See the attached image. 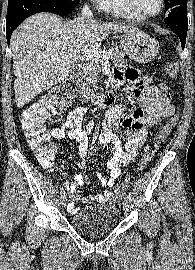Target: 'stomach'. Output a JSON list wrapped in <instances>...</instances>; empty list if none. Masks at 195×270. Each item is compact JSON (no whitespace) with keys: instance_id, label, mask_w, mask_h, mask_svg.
<instances>
[{"instance_id":"0dacf381","label":"stomach","mask_w":195,"mask_h":270,"mask_svg":"<svg viewBox=\"0 0 195 270\" xmlns=\"http://www.w3.org/2000/svg\"><path fill=\"white\" fill-rule=\"evenodd\" d=\"M119 38L124 52L137 63H148L159 52V43L140 30L124 33Z\"/></svg>"}]
</instances>
